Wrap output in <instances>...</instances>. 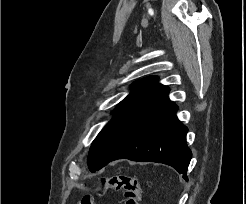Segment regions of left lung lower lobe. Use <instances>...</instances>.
Returning <instances> with one entry per match:
<instances>
[{
	"instance_id": "left-lung-lower-lobe-1",
	"label": "left lung lower lobe",
	"mask_w": 246,
	"mask_h": 204,
	"mask_svg": "<svg viewBox=\"0 0 246 204\" xmlns=\"http://www.w3.org/2000/svg\"><path fill=\"white\" fill-rule=\"evenodd\" d=\"M164 87L107 127L91 145L88 167L95 172L117 159L159 162L175 168L185 180L192 153L187 127L179 122L178 107Z\"/></svg>"
}]
</instances>
